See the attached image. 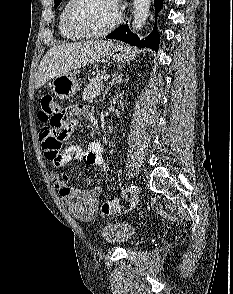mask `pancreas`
<instances>
[{
	"label": "pancreas",
	"instance_id": "pancreas-1",
	"mask_svg": "<svg viewBox=\"0 0 233 294\" xmlns=\"http://www.w3.org/2000/svg\"><path fill=\"white\" fill-rule=\"evenodd\" d=\"M105 76L104 72L98 73L90 83L85 87L82 94L83 100H91L101 94V91L104 89L103 77Z\"/></svg>",
	"mask_w": 233,
	"mask_h": 294
}]
</instances>
